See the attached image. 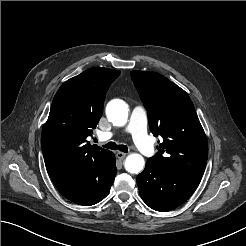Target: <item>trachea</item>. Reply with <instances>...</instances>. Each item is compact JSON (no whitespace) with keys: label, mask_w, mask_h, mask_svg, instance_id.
<instances>
[{"label":"trachea","mask_w":246,"mask_h":246,"mask_svg":"<svg viewBox=\"0 0 246 246\" xmlns=\"http://www.w3.org/2000/svg\"><path fill=\"white\" fill-rule=\"evenodd\" d=\"M103 147L111 149V150H120L122 152H128V147L126 145H117L114 142H108L105 145H103Z\"/></svg>","instance_id":"3493384b"}]
</instances>
